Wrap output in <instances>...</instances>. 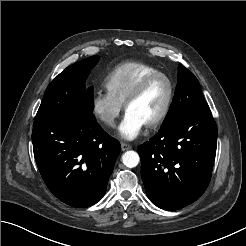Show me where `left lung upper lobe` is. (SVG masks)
I'll return each mask as SVG.
<instances>
[{
	"instance_id": "1",
	"label": "left lung upper lobe",
	"mask_w": 246,
	"mask_h": 246,
	"mask_svg": "<svg viewBox=\"0 0 246 246\" xmlns=\"http://www.w3.org/2000/svg\"><path fill=\"white\" fill-rule=\"evenodd\" d=\"M207 107L209 106L203 97L197 78L180 64L175 96L162 126L171 123L180 115Z\"/></svg>"
}]
</instances>
